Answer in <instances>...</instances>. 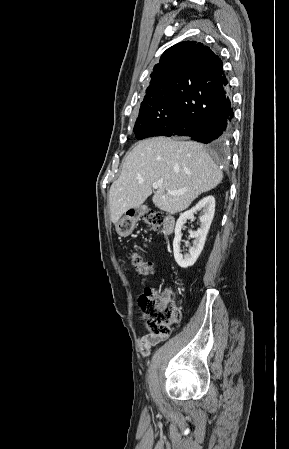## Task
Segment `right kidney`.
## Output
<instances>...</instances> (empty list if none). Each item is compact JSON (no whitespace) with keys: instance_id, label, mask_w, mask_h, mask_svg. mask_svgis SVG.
I'll list each match as a JSON object with an SVG mask.
<instances>
[{"instance_id":"1","label":"right kidney","mask_w":289,"mask_h":449,"mask_svg":"<svg viewBox=\"0 0 289 449\" xmlns=\"http://www.w3.org/2000/svg\"><path fill=\"white\" fill-rule=\"evenodd\" d=\"M202 210L203 215L200 217V228L193 232L190 230V236L195 238L193 246L189 248L188 254H182L180 250L181 230L188 219L194 218V214ZM215 212V198L206 196L201 199L193 208L180 215L175 226V237L173 240V252L176 263L181 268H188L194 265L201 254L206 236L212 223Z\"/></svg>"}]
</instances>
